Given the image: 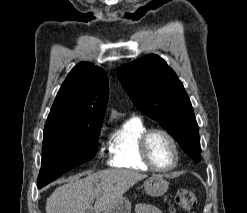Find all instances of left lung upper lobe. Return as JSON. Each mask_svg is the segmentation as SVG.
<instances>
[{
	"label": "left lung upper lobe",
	"mask_w": 247,
	"mask_h": 213,
	"mask_svg": "<svg viewBox=\"0 0 247 213\" xmlns=\"http://www.w3.org/2000/svg\"><path fill=\"white\" fill-rule=\"evenodd\" d=\"M134 105L156 120L195 160H200L198 124L176 73L158 55H146L117 69Z\"/></svg>",
	"instance_id": "1"
}]
</instances>
